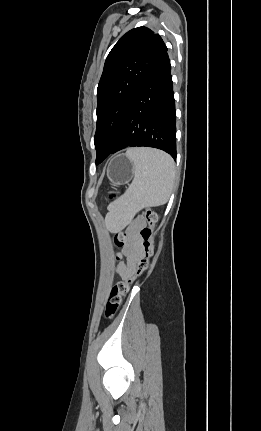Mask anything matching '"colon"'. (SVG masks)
Segmentation results:
<instances>
[{"instance_id": "obj_1", "label": "colon", "mask_w": 261, "mask_h": 431, "mask_svg": "<svg viewBox=\"0 0 261 431\" xmlns=\"http://www.w3.org/2000/svg\"><path fill=\"white\" fill-rule=\"evenodd\" d=\"M143 217L147 222V226L143 227L140 231L143 243L141 255L135 263L134 272L125 279L117 282L110 290L108 300L106 303L105 314L111 317L120 307L123 297L127 295L132 283L135 279L145 272L150 265L151 259L156 255L155 240V225L157 222V214L150 208L143 211ZM125 242V235L117 233L114 237V243L117 246H123Z\"/></svg>"}]
</instances>
